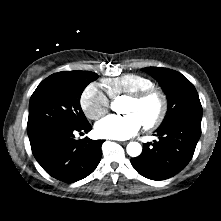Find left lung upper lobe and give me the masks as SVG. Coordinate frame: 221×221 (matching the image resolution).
Instances as JSON below:
<instances>
[{
  "label": "left lung upper lobe",
  "mask_w": 221,
  "mask_h": 221,
  "mask_svg": "<svg viewBox=\"0 0 221 221\" xmlns=\"http://www.w3.org/2000/svg\"><path fill=\"white\" fill-rule=\"evenodd\" d=\"M143 70L158 80L168 98V111L161 126L181 117L202 119L198 93L185 76L162 67H146Z\"/></svg>",
  "instance_id": "obj_1"
}]
</instances>
